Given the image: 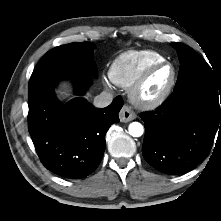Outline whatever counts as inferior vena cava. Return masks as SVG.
I'll return each instance as SVG.
<instances>
[{
  "label": "inferior vena cava",
  "mask_w": 221,
  "mask_h": 221,
  "mask_svg": "<svg viewBox=\"0 0 221 221\" xmlns=\"http://www.w3.org/2000/svg\"><path fill=\"white\" fill-rule=\"evenodd\" d=\"M113 101V95L107 91L101 92L94 98V106L97 108H104L111 104Z\"/></svg>",
  "instance_id": "inferior-vena-cava-1"
}]
</instances>
